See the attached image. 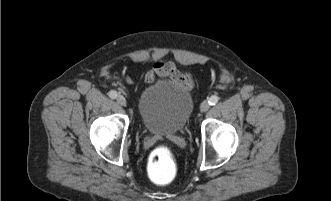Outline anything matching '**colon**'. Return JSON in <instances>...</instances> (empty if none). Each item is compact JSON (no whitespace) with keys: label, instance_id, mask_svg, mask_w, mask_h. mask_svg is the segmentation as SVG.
Segmentation results:
<instances>
[{"label":"colon","instance_id":"1","mask_svg":"<svg viewBox=\"0 0 331 201\" xmlns=\"http://www.w3.org/2000/svg\"><path fill=\"white\" fill-rule=\"evenodd\" d=\"M150 179L159 185L170 183L176 175V163L171 152L164 148H157L152 152L148 162Z\"/></svg>","mask_w":331,"mask_h":201}]
</instances>
